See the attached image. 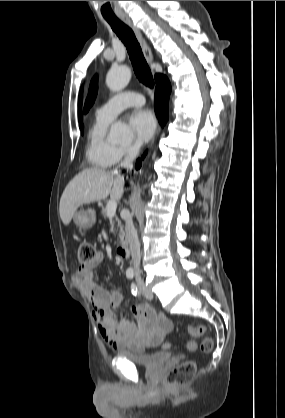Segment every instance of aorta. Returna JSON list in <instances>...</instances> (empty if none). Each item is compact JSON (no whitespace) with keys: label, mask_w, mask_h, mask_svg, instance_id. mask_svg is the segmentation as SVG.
<instances>
[{"label":"aorta","mask_w":285,"mask_h":418,"mask_svg":"<svg viewBox=\"0 0 285 418\" xmlns=\"http://www.w3.org/2000/svg\"><path fill=\"white\" fill-rule=\"evenodd\" d=\"M131 79V70L127 65L112 67L106 76V84L113 92L123 90ZM131 137L130 128L122 123L115 122L110 129V138L114 142H124Z\"/></svg>","instance_id":"1"}]
</instances>
